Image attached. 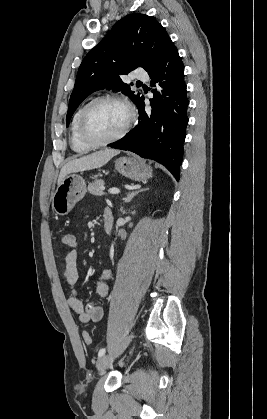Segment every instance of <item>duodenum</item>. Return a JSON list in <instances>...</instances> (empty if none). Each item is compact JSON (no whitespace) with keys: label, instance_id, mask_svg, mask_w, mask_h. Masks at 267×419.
<instances>
[{"label":"duodenum","instance_id":"1","mask_svg":"<svg viewBox=\"0 0 267 419\" xmlns=\"http://www.w3.org/2000/svg\"><path fill=\"white\" fill-rule=\"evenodd\" d=\"M104 232L106 234H110L113 229V218L112 217H106L104 218Z\"/></svg>","mask_w":267,"mask_h":419}]
</instances>
